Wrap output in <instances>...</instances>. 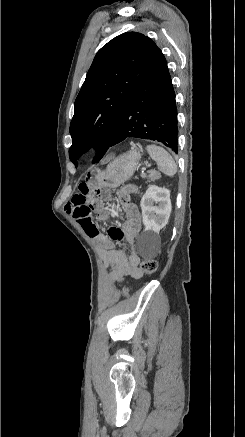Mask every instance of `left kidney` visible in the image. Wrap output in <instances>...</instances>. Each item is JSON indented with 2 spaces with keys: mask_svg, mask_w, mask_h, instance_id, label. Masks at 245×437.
<instances>
[{
  "mask_svg": "<svg viewBox=\"0 0 245 437\" xmlns=\"http://www.w3.org/2000/svg\"><path fill=\"white\" fill-rule=\"evenodd\" d=\"M140 206L145 232L149 236H155L168 224L172 210L170 191L151 185L143 195Z\"/></svg>",
  "mask_w": 245,
  "mask_h": 437,
  "instance_id": "5707ae66",
  "label": "left kidney"
}]
</instances>
